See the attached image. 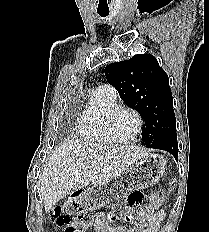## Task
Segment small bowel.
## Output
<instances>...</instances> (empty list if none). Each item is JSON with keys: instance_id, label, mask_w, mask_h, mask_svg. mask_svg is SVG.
<instances>
[{"instance_id": "small-bowel-1", "label": "small bowel", "mask_w": 209, "mask_h": 232, "mask_svg": "<svg viewBox=\"0 0 209 232\" xmlns=\"http://www.w3.org/2000/svg\"><path fill=\"white\" fill-rule=\"evenodd\" d=\"M146 199L145 190H130L126 195L125 213H138L137 224L134 227H112L108 224L109 215L97 218L93 225L97 232H158L159 227L165 217L163 210L154 206L146 205L140 209ZM91 223L84 221L81 223V232H89Z\"/></svg>"}]
</instances>
